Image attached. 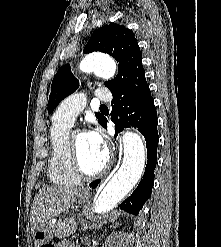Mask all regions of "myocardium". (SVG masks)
<instances>
[{
    "label": "myocardium",
    "instance_id": "1",
    "mask_svg": "<svg viewBox=\"0 0 221 247\" xmlns=\"http://www.w3.org/2000/svg\"><path fill=\"white\" fill-rule=\"evenodd\" d=\"M77 133H85V132L76 131L71 136H69V149H70V157H71L73 169L75 173L78 175V177L82 179L89 180V179L97 178L101 176L102 174H104L110 167L111 159H112L111 152L109 151V149H106L105 161L98 170H96L93 173L86 172L81 164L78 150H77V144H76V134Z\"/></svg>",
    "mask_w": 221,
    "mask_h": 247
}]
</instances>
